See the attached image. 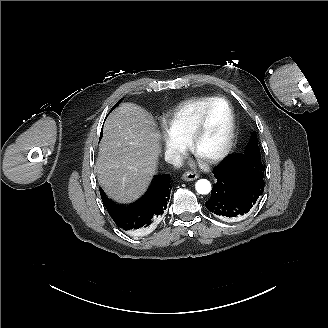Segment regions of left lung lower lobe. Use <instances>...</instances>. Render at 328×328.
Here are the masks:
<instances>
[{"mask_svg": "<svg viewBox=\"0 0 328 328\" xmlns=\"http://www.w3.org/2000/svg\"><path fill=\"white\" fill-rule=\"evenodd\" d=\"M217 179L206 208L229 220L246 215L264 191V166L257 156L234 154L213 170Z\"/></svg>", "mask_w": 328, "mask_h": 328, "instance_id": "0a47b994", "label": "left lung lower lobe"}]
</instances>
